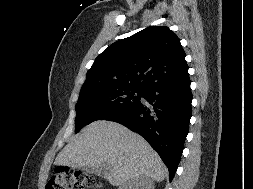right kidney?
<instances>
[{"instance_id": "obj_1", "label": "right kidney", "mask_w": 253, "mask_h": 189, "mask_svg": "<svg viewBox=\"0 0 253 189\" xmlns=\"http://www.w3.org/2000/svg\"><path fill=\"white\" fill-rule=\"evenodd\" d=\"M119 189H154V183L150 178L137 177L126 182Z\"/></svg>"}]
</instances>
